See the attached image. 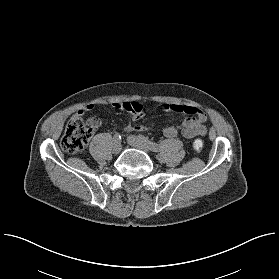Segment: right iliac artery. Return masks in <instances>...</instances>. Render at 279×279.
Instances as JSON below:
<instances>
[{"label":"right iliac artery","instance_id":"82829eb1","mask_svg":"<svg viewBox=\"0 0 279 279\" xmlns=\"http://www.w3.org/2000/svg\"><path fill=\"white\" fill-rule=\"evenodd\" d=\"M113 139H114V143L120 142V140H121L120 134H119V133H116V134L114 135Z\"/></svg>","mask_w":279,"mask_h":279}]
</instances>
